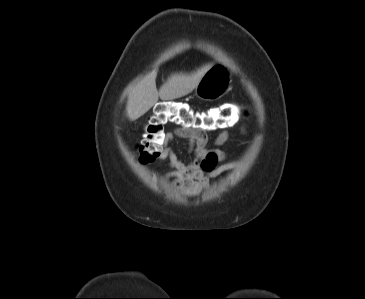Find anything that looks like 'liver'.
Returning <instances> with one entry per match:
<instances>
[{
    "label": "liver",
    "instance_id": "obj_1",
    "mask_svg": "<svg viewBox=\"0 0 365 299\" xmlns=\"http://www.w3.org/2000/svg\"><path fill=\"white\" fill-rule=\"evenodd\" d=\"M212 65H206L197 72L185 75L174 74L168 78L159 91L156 88V73L144 77L129 90L127 116L131 121L143 116L158 101L173 100L191 93L198 85L202 76Z\"/></svg>",
    "mask_w": 365,
    "mask_h": 299
}]
</instances>
